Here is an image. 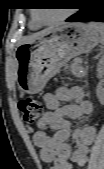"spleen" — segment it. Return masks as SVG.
I'll return each instance as SVG.
<instances>
[{
    "instance_id": "1",
    "label": "spleen",
    "mask_w": 104,
    "mask_h": 169,
    "mask_svg": "<svg viewBox=\"0 0 104 169\" xmlns=\"http://www.w3.org/2000/svg\"><path fill=\"white\" fill-rule=\"evenodd\" d=\"M91 27L97 28L98 30H100L103 33V25L101 24H96V23H90Z\"/></svg>"
}]
</instances>
